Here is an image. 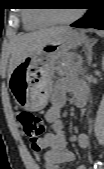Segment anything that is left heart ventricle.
I'll return each mask as SVG.
<instances>
[{
    "instance_id": "1",
    "label": "left heart ventricle",
    "mask_w": 104,
    "mask_h": 169,
    "mask_svg": "<svg viewBox=\"0 0 104 169\" xmlns=\"http://www.w3.org/2000/svg\"><path fill=\"white\" fill-rule=\"evenodd\" d=\"M55 15L60 18H67L73 15L74 9H67V10H57L54 11Z\"/></svg>"
}]
</instances>
